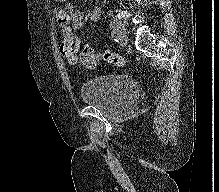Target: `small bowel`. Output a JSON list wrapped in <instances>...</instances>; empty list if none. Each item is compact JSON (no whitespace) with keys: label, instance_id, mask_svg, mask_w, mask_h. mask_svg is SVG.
I'll return each mask as SVG.
<instances>
[{"label":"small bowel","instance_id":"1","mask_svg":"<svg viewBox=\"0 0 219 192\" xmlns=\"http://www.w3.org/2000/svg\"><path fill=\"white\" fill-rule=\"evenodd\" d=\"M57 4H64L63 7H57L55 9V16L58 24L63 30L64 38L72 34L74 31L80 30L86 21H98L101 16V8H94L93 10L84 13L81 10L76 9L72 2L67 0H55ZM78 44H80V38L78 36Z\"/></svg>","mask_w":219,"mask_h":192}]
</instances>
